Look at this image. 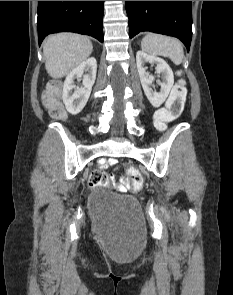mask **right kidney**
Here are the masks:
<instances>
[{"instance_id": "ca27d5eb", "label": "right kidney", "mask_w": 233, "mask_h": 295, "mask_svg": "<svg viewBox=\"0 0 233 295\" xmlns=\"http://www.w3.org/2000/svg\"><path fill=\"white\" fill-rule=\"evenodd\" d=\"M84 72H87V74L83 76V87L76 89L74 80L82 77ZM96 72L97 62L95 58L91 57L83 61L67 75L63 84L62 99L66 110L70 114H78L86 105L92 86L95 83Z\"/></svg>"}]
</instances>
